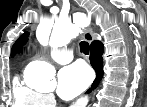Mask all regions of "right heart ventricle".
<instances>
[{
	"mask_svg": "<svg viewBox=\"0 0 147 107\" xmlns=\"http://www.w3.org/2000/svg\"><path fill=\"white\" fill-rule=\"evenodd\" d=\"M14 107H41L45 105L43 95L23 84L18 77L13 81Z\"/></svg>",
	"mask_w": 147,
	"mask_h": 107,
	"instance_id": "e07e8e85",
	"label": "right heart ventricle"
}]
</instances>
